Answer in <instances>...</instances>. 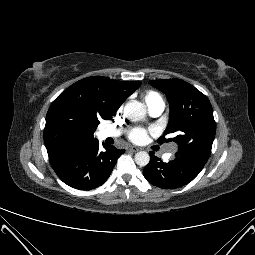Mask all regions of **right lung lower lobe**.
Masks as SVG:
<instances>
[{
  "label": "right lung lower lobe",
  "instance_id": "right-lung-lower-lobe-1",
  "mask_svg": "<svg viewBox=\"0 0 255 255\" xmlns=\"http://www.w3.org/2000/svg\"><path fill=\"white\" fill-rule=\"evenodd\" d=\"M99 142H88L49 157L52 168L67 185L79 190H91L102 185L110 176L124 150Z\"/></svg>",
  "mask_w": 255,
  "mask_h": 255
}]
</instances>
